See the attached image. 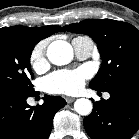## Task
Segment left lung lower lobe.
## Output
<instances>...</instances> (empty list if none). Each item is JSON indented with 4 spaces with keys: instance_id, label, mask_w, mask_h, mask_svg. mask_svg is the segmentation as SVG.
<instances>
[{
    "instance_id": "left-lung-lower-lobe-1",
    "label": "left lung lower lobe",
    "mask_w": 139,
    "mask_h": 139,
    "mask_svg": "<svg viewBox=\"0 0 139 139\" xmlns=\"http://www.w3.org/2000/svg\"><path fill=\"white\" fill-rule=\"evenodd\" d=\"M107 91L108 100L93 102V111L83 121L85 130L92 139H130L139 129V73Z\"/></svg>"
}]
</instances>
